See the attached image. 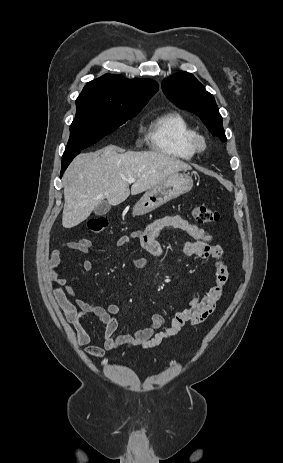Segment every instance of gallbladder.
<instances>
[{"instance_id":"gallbladder-1","label":"gallbladder","mask_w":283,"mask_h":463,"mask_svg":"<svg viewBox=\"0 0 283 463\" xmlns=\"http://www.w3.org/2000/svg\"><path fill=\"white\" fill-rule=\"evenodd\" d=\"M111 209V204L108 201H102L97 207L94 209V214L96 215H105Z\"/></svg>"}]
</instances>
